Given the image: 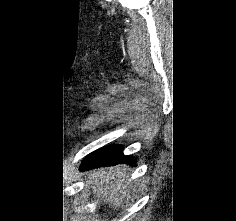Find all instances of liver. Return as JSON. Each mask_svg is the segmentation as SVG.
Instances as JSON below:
<instances>
[{"mask_svg":"<svg viewBox=\"0 0 236 221\" xmlns=\"http://www.w3.org/2000/svg\"><path fill=\"white\" fill-rule=\"evenodd\" d=\"M128 175L121 166L98 169L87 176V185L99 201L118 207L122 201L129 202L130 194L136 192V186L126 183Z\"/></svg>","mask_w":236,"mask_h":221,"instance_id":"6515ba94","label":"liver"}]
</instances>
